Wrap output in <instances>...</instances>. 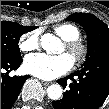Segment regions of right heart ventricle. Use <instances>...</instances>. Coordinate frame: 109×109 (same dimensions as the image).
Segmentation results:
<instances>
[{
    "label": "right heart ventricle",
    "mask_w": 109,
    "mask_h": 109,
    "mask_svg": "<svg viewBox=\"0 0 109 109\" xmlns=\"http://www.w3.org/2000/svg\"><path fill=\"white\" fill-rule=\"evenodd\" d=\"M54 32L65 41L78 39L80 37L79 28L71 23H61L53 27Z\"/></svg>",
    "instance_id": "obj_1"
}]
</instances>
